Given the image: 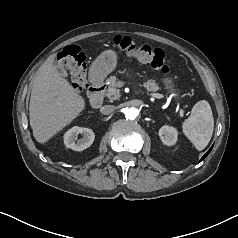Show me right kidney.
Segmentation results:
<instances>
[{
	"label": "right kidney",
	"mask_w": 238,
	"mask_h": 238,
	"mask_svg": "<svg viewBox=\"0 0 238 238\" xmlns=\"http://www.w3.org/2000/svg\"><path fill=\"white\" fill-rule=\"evenodd\" d=\"M79 134L83 135V137L77 139ZM94 138L95 134L91 129L75 126L64 134V144L72 150L82 151L92 145Z\"/></svg>",
	"instance_id": "ca27d5eb"
}]
</instances>
